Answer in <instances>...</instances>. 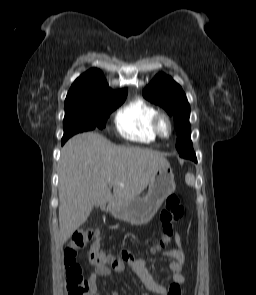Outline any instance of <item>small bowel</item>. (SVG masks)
I'll return each instance as SVG.
<instances>
[{
    "label": "small bowel",
    "instance_id": "c3829d8e",
    "mask_svg": "<svg viewBox=\"0 0 256 295\" xmlns=\"http://www.w3.org/2000/svg\"><path fill=\"white\" fill-rule=\"evenodd\" d=\"M175 242L177 247L164 254L167 258L171 259L168 268L172 272V283L168 287L155 281L143 259L135 258L129 250L123 249L119 257L111 260L109 266H96L95 270L89 275L88 285L90 295H99V287L97 285L98 277L104 278L111 273H120L125 269L126 265L131 268L150 292L157 295H181V286L185 283V278L182 274L185 264V251L178 233L175 234ZM104 285H106L105 282ZM110 295H118V293L111 291Z\"/></svg>",
    "mask_w": 256,
    "mask_h": 295
}]
</instances>
